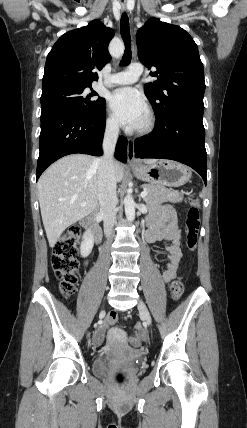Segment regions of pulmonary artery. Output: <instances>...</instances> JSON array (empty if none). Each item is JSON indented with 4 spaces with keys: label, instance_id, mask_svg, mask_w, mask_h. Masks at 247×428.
Masks as SVG:
<instances>
[{
    "label": "pulmonary artery",
    "instance_id": "e3ab8cb5",
    "mask_svg": "<svg viewBox=\"0 0 247 428\" xmlns=\"http://www.w3.org/2000/svg\"><path fill=\"white\" fill-rule=\"evenodd\" d=\"M143 73V67L139 63L131 64L128 69L115 73L108 83L111 85H127L135 82Z\"/></svg>",
    "mask_w": 247,
    "mask_h": 428
}]
</instances>
